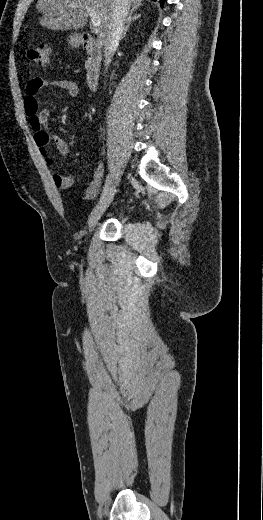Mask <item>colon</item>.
<instances>
[{
  "label": "colon",
  "instance_id": "obj_1",
  "mask_svg": "<svg viewBox=\"0 0 263 520\" xmlns=\"http://www.w3.org/2000/svg\"><path fill=\"white\" fill-rule=\"evenodd\" d=\"M50 46L41 43L28 51V58L39 67H47L50 63Z\"/></svg>",
  "mask_w": 263,
  "mask_h": 520
}]
</instances>
